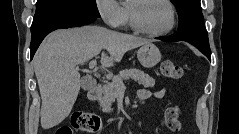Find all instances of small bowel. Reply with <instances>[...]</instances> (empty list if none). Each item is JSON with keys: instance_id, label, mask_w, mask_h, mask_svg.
Listing matches in <instances>:
<instances>
[{"instance_id": "small-bowel-1", "label": "small bowel", "mask_w": 239, "mask_h": 134, "mask_svg": "<svg viewBox=\"0 0 239 134\" xmlns=\"http://www.w3.org/2000/svg\"><path fill=\"white\" fill-rule=\"evenodd\" d=\"M164 96H165V90L164 89L157 90V91H154V92H152L148 89H141L138 92V98L141 101L147 100V99L152 98V97L157 98V99H162Z\"/></svg>"}]
</instances>
